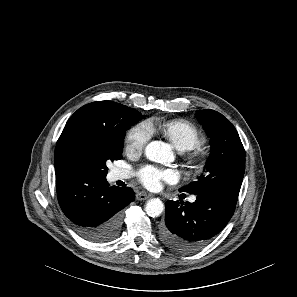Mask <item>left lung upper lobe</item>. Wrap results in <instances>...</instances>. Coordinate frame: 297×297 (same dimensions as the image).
Segmentation results:
<instances>
[{
  "instance_id": "1",
  "label": "left lung upper lobe",
  "mask_w": 297,
  "mask_h": 297,
  "mask_svg": "<svg viewBox=\"0 0 297 297\" xmlns=\"http://www.w3.org/2000/svg\"><path fill=\"white\" fill-rule=\"evenodd\" d=\"M211 138V155L198 180L179 189L196 194L209 189L240 190L245 172V150L231 122L214 110L196 114Z\"/></svg>"
}]
</instances>
